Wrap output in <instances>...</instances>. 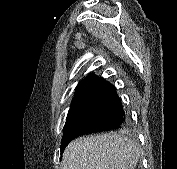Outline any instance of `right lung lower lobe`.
I'll return each instance as SVG.
<instances>
[{
	"label": "right lung lower lobe",
	"instance_id": "right-lung-lower-lobe-1",
	"mask_svg": "<svg viewBox=\"0 0 177 169\" xmlns=\"http://www.w3.org/2000/svg\"><path fill=\"white\" fill-rule=\"evenodd\" d=\"M86 93L89 102L75 117L66 121L61 140V152L73 139L93 132L121 128L126 115L113 85L101 77L93 76Z\"/></svg>",
	"mask_w": 177,
	"mask_h": 169
}]
</instances>
